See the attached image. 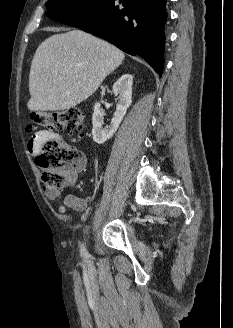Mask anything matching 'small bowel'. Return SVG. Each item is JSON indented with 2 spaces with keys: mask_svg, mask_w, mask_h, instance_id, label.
I'll use <instances>...</instances> for the list:
<instances>
[{
  "mask_svg": "<svg viewBox=\"0 0 233 328\" xmlns=\"http://www.w3.org/2000/svg\"><path fill=\"white\" fill-rule=\"evenodd\" d=\"M52 138L60 139V136L47 130L36 132L28 142L29 152H38L42 144ZM45 194L49 200L59 202L58 208L61 213L66 212L68 209L83 211L86 207V201L84 199L74 195H64L63 190L59 188H46Z\"/></svg>",
  "mask_w": 233,
  "mask_h": 328,
  "instance_id": "small-bowel-1",
  "label": "small bowel"
}]
</instances>
